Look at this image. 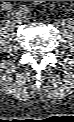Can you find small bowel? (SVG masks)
I'll use <instances>...</instances> for the list:
<instances>
[{
    "label": "small bowel",
    "instance_id": "small-bowel-1",
    "mask_svg": "<svg viewBox=\"0 0 74 122\" xmlns=\"http://www.w3.org/2000/svg\"><path fill=\"white\" fill-rule=\"evenodd\" d=\"M32 2L38 4V3H43L44 1H32Z\"/></svg>",
    "mask_w": 74,
    "mask_h": 122
}]
</instances>
